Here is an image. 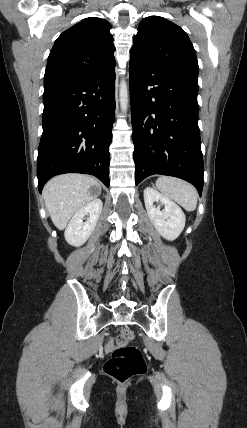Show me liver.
Listing matches in <instances>:
<instances>
[{
	"instance_id": "liver-1",
	"label": "liver",
	"mask_w": 247,
	"mask_h": 428,
	"mask_svg": "<svg viewBox=\"0 0 247 428\" xmlns=\"http://www.w3.org/2000/svg\"><path fill=\"white\" fill-rule=\"evenodd\" d=\"M95 187L97 193L88 191ZM99 182L88 175L65 174L52 178L43 189L46 209L53 224L63 230L71 217L100 193Z\"/></svg>"
}]
</instances>
